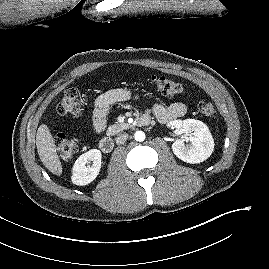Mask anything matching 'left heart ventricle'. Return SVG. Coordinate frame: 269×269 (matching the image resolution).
Returning <instances> with one entry per match:
<instances>
[{
  "label": "left heart ventricle",
  "mask_w": 269,
  "mask_h": 269,
  "mask_svg": "<svg viewBox=\"0 0 269 269\" xmlns=\"http://www.w3.org/2000/svg\"><path fill=\"white\" fill-rule=\"evenodd\" d=\"M42 1H44V0H42ZM50 1H52V2H54V1H57V0H45V2H50Z\"/></svg>",
  "instance_id": "b2bd125f"
}]
</instances>
